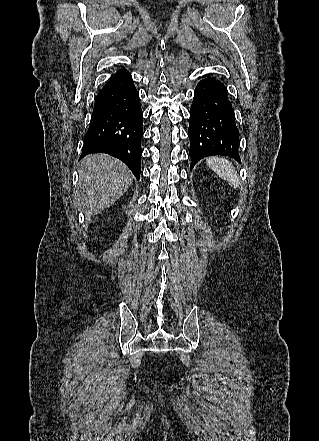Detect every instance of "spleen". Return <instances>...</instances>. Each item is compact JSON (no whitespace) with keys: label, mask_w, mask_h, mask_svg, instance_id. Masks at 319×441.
I'll use <instances>...</instances> for the list:
<instances>
[{"label":"spleen","mask_w":319,"mask_h":441,"mask_svg":"<svg viewBox=\"0 0 319 441\" xmlns=\"http://www.w3.org/2000/svg\"><path fill=\"white\" fill-rule=\"evenodd\" d=\"M206 163L210 169L232 187L237 188L239 186V175L227 159L210 157L206 159Z\"/></svg>","instance_id":"1"}]
</instances>
